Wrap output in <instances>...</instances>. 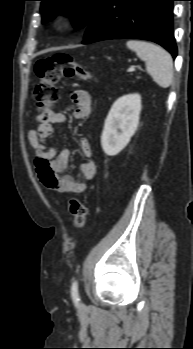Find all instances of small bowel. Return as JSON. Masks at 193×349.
<instances>
[{
	"instance_id": "1",
	"label": "small bowel",
	"mask_w": 193,
	"mask_h": 349,
	"mask_svg": "<svg viewBox=\"0 0 193 349\" xmlns=\"http://www.w3.org/2000/svg\"><path fill=\"white\" fill-rule=\"evenodd\" d=\"M75 104L74 117L87 119L92 111V96L87 90H75L70 95ZM66 117L59 112L41 113L35 119L36 129L27 131L28 144L34 154V164L41 183L52 190L63 193H82L85 181L95 177L97 168L91 159L90 142L83 137L79 141L80 150L85 160L74 169L70 165V151L64 148L57 151L47 147V142L54 137V125L63 123Z\"/></svg>"
}]
</instances>
